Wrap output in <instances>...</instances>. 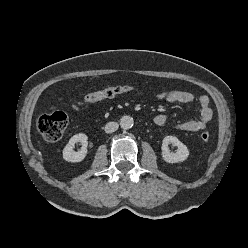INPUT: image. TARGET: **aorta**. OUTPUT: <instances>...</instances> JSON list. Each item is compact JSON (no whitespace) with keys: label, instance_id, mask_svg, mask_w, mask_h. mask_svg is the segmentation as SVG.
Returning a JSON list of instances; mask_svg holds the SVG:
<instances>
[{"label":"aorta","instance_id":"aorta-1","mask_svg":"<svg viewBox=\"0 0 248 248\" xmlns=\"http://www.w3.org/2000/svg\"><path fill=\"white\" fill-rule=\"evenodd\" d=\"M134 120L131 116L125 115L120 119V127L124 130L132 128Z\"/></svg>","mask_w":248,"mask_h":248}]
</instances>
